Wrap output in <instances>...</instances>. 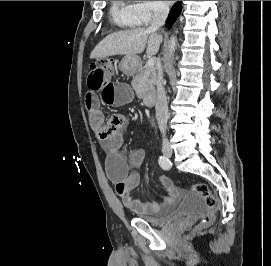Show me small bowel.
I'll return each mask as SVG.
<instances>
[{
	"instance_id": "obj_1",
	"label": "small bowel",
	"mask_w": 271,
	"mask_h": 266,
	"mask_svg": "<svg viewBox=\"0 0 271 266\" xmlns=\"http://www.w3.org/2000/svg\"><path fill=\"white\" fill-rule=\"evenodd\" d=\"M113 71L91 67L87 79L88 91L85 95V107L89 124L96 137L107 143L109 153L106 160V174L114 184L116 193L121 197L123 205L139 214L157 213L162 209L172 207L180 197V191L170 178L159 176L161 185L166 189V196L159 203H151L133 198L132 191L138 187L141 176L137 172H130L138 167L142 160V153L133 152L128 159L121 152L123 144V128L126 118L121 114H114L105 122L97 92H100L104 103L119 106L132 100V91L128 84L112 81Z\"/></svg>"
}]
</instances>
